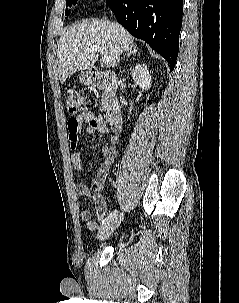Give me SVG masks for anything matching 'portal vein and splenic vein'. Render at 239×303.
<instances>
[{"mask_svg": "<svg viewBox=\"0 0 239 303\" xmlns=\"http://www.w3.org/2000/svg\"><path fill=\"white\" fill-rule=\"evenodd\" d=\"M86 51L87 52H93V51L100 52L101 55H102V61H103V63L105 65H109L111 63V59L108 56V54H107L106 49H105L104 46H91V47L87 48Z\"/></svg>", "mask_w": 239, "mask_h": 303, "instance_id": "portal-vein-and-splenic-vein-1", "label": "portal vein and splenic vein"}]
</instances>
